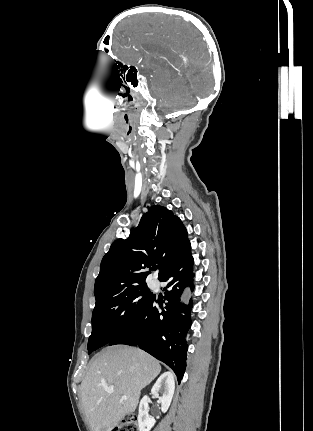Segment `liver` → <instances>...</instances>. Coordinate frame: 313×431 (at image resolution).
I'll use <instances>...</instances> for the list:
<instances>
[{
    "mask_svg": "<svg viewBox=\"0 0 313 431\" xmlns=\"http://www.w3.org/2000/svg\"><path fill=\"white\" fill-rule=\"evenodd\" d=\"M160 372L159 362L138 348L115 345L98 353L80 385L92 431H111L127 414L133 413L141 390ZM104 386L112 387L114 392L108 394Z\"/></svg>",
    "mask_w": 313,
    "mask_h": 431,
    "instance_id": "1",
    "label": "liver"
}]
</instances>
